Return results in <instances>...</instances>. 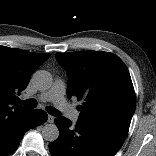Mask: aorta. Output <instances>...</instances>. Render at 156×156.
Segmentation results:
<instances>
[{
  "mask_svg": "<svg viewBox=\"0 0 156 156\" xmlns=\"http://www.w3.org/2000/svg\"><path fill=\"white\" fill-rule=\"evenodd\" d=\"M32 80L41 90L49 89L52 84L51 74L45 70L36 71L32 76ZM42 136L46 141L54 142L59 136L58 127L53 123L46 124L42 128Z\"/></svg>",
  "mask_w": 156,
  "mask_h": 156,
  "instance_id": "obj_1",
  "label": "aorta"
}]
</instances>
